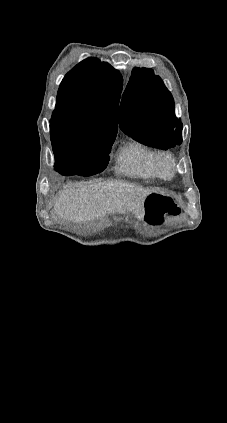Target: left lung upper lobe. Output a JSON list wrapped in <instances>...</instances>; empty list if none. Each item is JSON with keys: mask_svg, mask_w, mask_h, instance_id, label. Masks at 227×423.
I'll list each match as a JSON object with an SVG mask.
<instances>
[{"mask_svg": "<svg viewBox=\"0 0 227 423\" xmlns=\"http://www.w3.org/2000/svg\"><path fill=\"white\" fill-rule=\"evenodd\" d=\"M120 129L138 142L159 149L182 143V123L162 80L148 68H134L123 93Z\"/></svg>", "mask_w": 227, "mask_h": 423, "instance_id": "1", "label": "left lung upper lobe"}]
</instances>
